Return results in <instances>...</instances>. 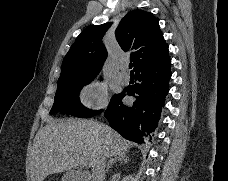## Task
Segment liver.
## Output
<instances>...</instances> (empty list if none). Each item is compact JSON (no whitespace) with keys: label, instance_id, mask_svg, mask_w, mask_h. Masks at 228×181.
I'll return each instance as SVG.
<instances>
[{"label":"liver","instance_id":"liver-1","mask_svg":"<svg viewBox=\"0 0 228 181\" xmlns=\"http://www.w3.org/2000/svg\"><path fill=\"white\" fill-rule=\"evenodd\" d=\"M99 125L98 135H94ZM130 143L116 131L94 121L78 119H50L39 131L29 163L31 181H45L48 175L71 171L76 159L82 157L86 167H92L94 155L107 157L126 155Z\"/></svg>","mask_w":228,"mask_h":181}]
</instances>
